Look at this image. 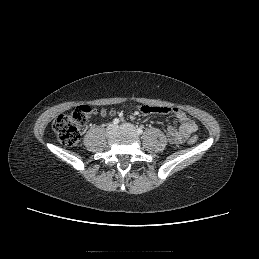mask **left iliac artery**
<instances>
[{
  "label": "left iliac artery",
  "mask_w": 259,
  "mask_h": 259,
  "mask_svg": "<svg viewBox=\"0 0 259 259\" xmlns=\"http://www.w3.org/2000/svg\"><path fill=\"white\" fill-rule=\"evenodd\" d=\"M137 133H138V134H142V133H143V130H142L141 128H138V129H137Z\"/></svg>",
  "instance_id": "left-iliac-artery-1"
}]
</instances>
